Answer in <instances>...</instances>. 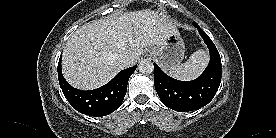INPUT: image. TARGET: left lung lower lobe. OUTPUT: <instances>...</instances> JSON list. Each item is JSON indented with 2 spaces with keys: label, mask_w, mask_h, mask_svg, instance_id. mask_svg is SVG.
<instances>
[{
  "label": "left lung lower lobe",
  "mask_w": 276,
  "mask_h": 138,
  "mask_svg": "<svg viewBox=\"0 0 276 138\" xmlns=\"http://www.w3.org/2000/svg\"><path fill=\"white\" fill-rule=\"evenodd\" d=\"M198 29L210 52V62L205 71L195 80L184 82L166 75L154 63V85L161 101L167 107L188 112L206 106L215 96L221 82V59L218 50L209 36Z\"/></svg>",
  "instance_id": "0a47b994"
}]
</instances>
